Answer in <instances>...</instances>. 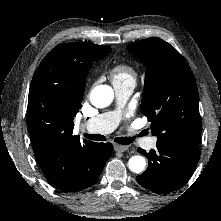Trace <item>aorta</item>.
<instances>
[{"label": "aorta", "mask_w": 221, "mask_h": 221, "mask_svg": "<svg viewBox=\"0 0 221 221\" xmlns=\"http://www.w3.org/2000/svg\"><path fill=\"white\" fill-rule=\"evenodd\" d=\"M114 98L113 89L107 85H99L95 87L90 96L91 103L97 108H104L111 104ZM146 166L145 158L140 155L132 156L129 159V169L139 174L144 171Z\"/></svg>", "instance_id": "obj_1"}]
</instances>
